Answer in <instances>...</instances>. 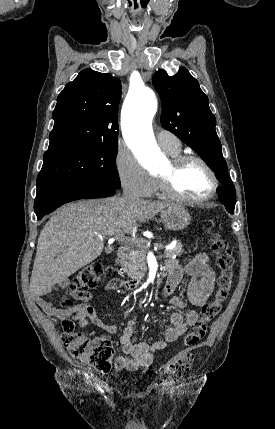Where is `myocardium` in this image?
Segmentation results:
<instances>
[{"label": "myocardium", "mask_w": 275, "mask_h": 429, "mask_svg": "<svg viewBox=\"0 0 275 429\" xmlns=\"http://www.w3.org/2000/svg\"><path fill=\"white\" fill-rule=\"evenodd\" d=\"M169 162L171 167L170 174L158 176L161 191L165 196L175 201L191 204V205L204 204L212 200L216 196L220 185L219 178L215 170L204 158L196 154H178L176 156H172ZM189 162L200 163L211 178V181H212L211 191L203 198L195 199V198H189V197L183 196L180 193H178L174 187V181H173L174 176L181 170V168L185 164Z\"/></svg>", "instance_id": "1"}]
</instances>
